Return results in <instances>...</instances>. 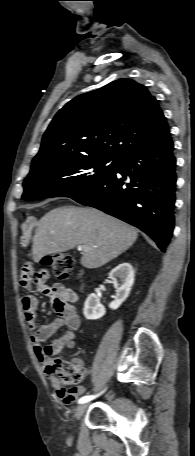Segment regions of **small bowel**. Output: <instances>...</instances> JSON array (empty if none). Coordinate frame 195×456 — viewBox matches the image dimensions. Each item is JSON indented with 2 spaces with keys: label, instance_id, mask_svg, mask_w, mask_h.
<instances>
[{
  "label": "small bowel",
  "instance_id": "obj_1",
  "mask_svg": "<svg viewBox=\"0 0 195 456\" xmlns=\"http://www.w3.org/2000/svg\"><path fill=\"white\" fill-rule=\"evenodd\" d=\"M35 218L32 216L26 217L21 224V246H26L32 235L35 226ZM49 273L45 269L34 272L31 267L25 265L20 275V285L23 288L29 287L34 283L38 288L52 300L53 307L57 313V318L51 323L44 324L36 328V317L38 310V300L34 295L28 294L21 299V305L24 312L25 321L30 330L33 332L30 335V341L34 347V352L37 358L44 362L47 359V352L58 354L64 348L74 346L75 331L80 327L81 320L74 306L79 299L78 294L71 288L66 287L62 283H54L51 286L47 285ZM67 328L60 337L54 339L50 345L43 347L42 344L52 337L55 332L61 328ZM77 361L81 366L82 362ZM55 394L64 404H72L80 395L85 392L82 386L65 388L59 380L53 376H49Z\"/></svg>",
  "mask_w": 195,
  "mask_h": 456
}]
</instances>
